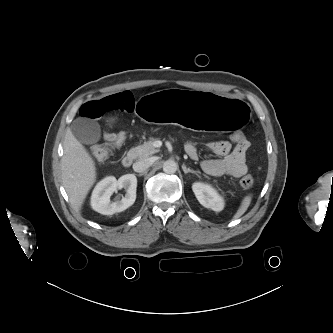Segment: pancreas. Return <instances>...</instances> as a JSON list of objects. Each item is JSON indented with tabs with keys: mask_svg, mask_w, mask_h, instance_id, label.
<instances>
[{
	"mask_svg": "<svg viewBox=\"0 0 333 333\" xmlns=\"http://www.w3.org/2000/svg\"><path fill=\"white\" fill-rule=\"evenodd\" d=\"M154 139H149V141L144 142V144L139 145L135 148L130 149L128 155L133 159H145L154 153L159 152V149L153 146Z\"/></svg>",
	"mask_w": 333,
	"mask_h": 333,
	"instance_id": "cf45deb5",
	"label": "pancreas"
}]
</instances>
